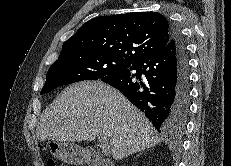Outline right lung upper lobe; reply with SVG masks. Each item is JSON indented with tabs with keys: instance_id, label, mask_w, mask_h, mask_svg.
I'll return each instance as SVG.
<instances>
[{
	"instance_id": "cb5924a9",
	"label": "right lung upper lobe",
	"mask_w": 231,
	"mask_h": 166,
	"mask_svg": "<svg viewBox=\"0 0 231 166\" xmlns=\"http://www.w3.org/2000/svg\"><path fill=\"white\" fill-rule=\"evenodd\" d=\"M172 38V25L157 12L100 16L86 22L62 46L59 57L84 52L135 61L159 52Z\"/></svg>"
}]
</instances>
